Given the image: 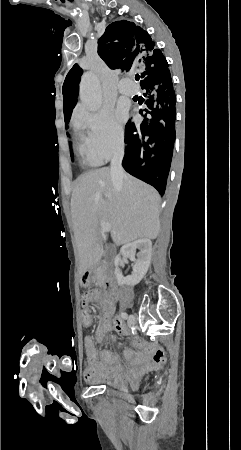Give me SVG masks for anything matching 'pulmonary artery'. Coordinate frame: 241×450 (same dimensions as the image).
Returning a JSON list of instances; mask_svg holds the SVG:
<instances>
[{
  "instance_id": "obj_1",
  "label": "pulmonary artery",
  "mask_w": 241,
  "mask_h": 450,
  "mask_svg": "<svg viewBox=\"0 0 241 450\" xmlns=\"http://www.w3.org/2000/svg\"><path fill=\"white\" fill-rule=\"evenodd\" d=\"M133 78H120L119 84L117 85V90L119 92H128L130 87H133Z\"/></svg>"
}]
</instances>
